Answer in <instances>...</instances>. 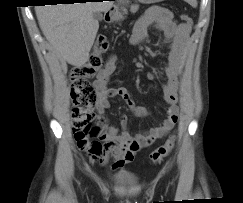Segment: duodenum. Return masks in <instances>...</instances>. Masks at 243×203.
Segmentation results:
<instances>
[{
    "label": "duodenum",
    "instance_id": "1",
    "mask_svg": "<svg viewBox=\"0 0 243 203\" xmlns=\"http://www.w3.org/2000/svg\"><path fill=\"white\" fill-rule=\"evenodd\" d=\"M112 17H113V9L107 10L104 16V20L108 23L112 22Z\"/></svg>",
    "mask_w": 243,
    "mask_h": 203
}]
</instances>
